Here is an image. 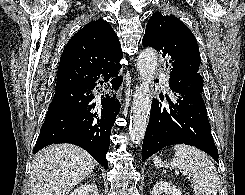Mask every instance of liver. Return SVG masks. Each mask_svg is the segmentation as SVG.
<instances>
[{"label": "liver", "mask_w": 245, "mask_h": 195, "mask_svg": "<svg viewBox=\"0 0 245 195\" xmlns=\"http://www.w3.org/2000/svg\"><path fill=\"white\" fill-rule=\"evenodd\" d=\"M96 161L73 144H54L41 150L30 175L33 195H66L94 169Z\"/></svg>", "instance_id": "obj_1"}]
</instances>
